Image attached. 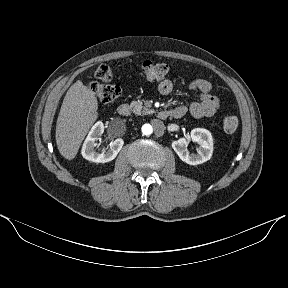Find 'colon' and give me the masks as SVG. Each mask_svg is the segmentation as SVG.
Returning a JSON list of instances; mask_svg holds the SVG:
<instances>
[{"label":"colon","instance_id":"obj_1","mask_svg":"<svg viewBox=\"0 0 288 288\" xmlns=\"http://www.w3.org/2000/svg\"><path fill=\"white\" fill-rule=\"evenodd\" d=\"M139 77L147 80H162L168 73V67L160 62L145 61L137 69ZM98 80L109 82L113 78V71L107 65H101L95 73ZM90 90L103 102H114L119 94L120 88L116 85L92 81L89 84ZM238 118L236 116H226L223 120V129L226 133H234L238 128Z\"/></svg>","mask_w":288,"mask_h":288}]
</instances>
